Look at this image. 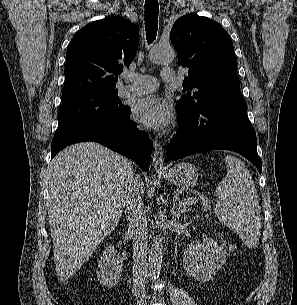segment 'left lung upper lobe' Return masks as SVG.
<instances>
[{"label":"left lung upper lobe","instance_id":"5c2ea615","mask_svg":"<svg viewBox=\"0 0 297 305\" xmlns=\"http://www.w3.org/2000/svg\"><path fill=\"white\" fill-rule=\"evenodd\" d=\"M170 38L178 65L189 69L184 95L176 107L193 111L208 100L240 89L233 44L219 23L191 13L176 20ZM192 89L195 91L190 92Z\"/></svg>","mask_w":297,"mask_h":305}]
</instances>
